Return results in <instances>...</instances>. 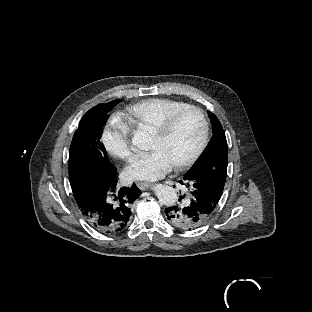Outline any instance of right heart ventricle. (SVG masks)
<instances>
[{"label": "right heart ventricle", "mask_w": 312, "mask_h": 312, "mask_svg": "<svg viewBox=\"0 0 312 312\" xmlns=\"http://www.w3.org/2000/svg\"><path fill=\"white\" fill-rule=\"evenodd\" d=\"M186 101L181 96H150L146 100L136 99L131 104L132 115L149 126H162L168 118L181 113Z\"/></svg>", "instance_id": "right-heart-ventricle-1"}]
</instances>
